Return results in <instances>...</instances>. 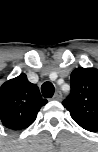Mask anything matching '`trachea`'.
I'll use <instances>...</instances> for the list:
<instances>
[{
  "label": "trachea",
  "instance_id": "trachea-1",
  "mask_svg": "<svg viewBox=\"0 0 98 152\" xmlns=\"http://www.w3.org/2000/svg\"><path fill=\"white\" fill-rule=\"evenodd\" d=\"M43 97L51 98L54 95L55 88L51 82H44L41 86Z\"/></svg>",
  "mask_w": 98,
  "mask_h": 152
}]
</instances>
